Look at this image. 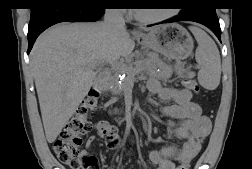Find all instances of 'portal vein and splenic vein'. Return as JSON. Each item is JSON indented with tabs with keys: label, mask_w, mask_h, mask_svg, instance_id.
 Segmentation results:
<instances>
[{
	"label": "portal vein and splenic vein",
	"mask_w": 252,
	"mask_h": 169,
	"mask_svg": "<svg viewBox=\"0 0 252 169\" xmlns=\"http://www.w3.org/2000/svg\"><path fill=\"white\" fill-rule=\"evenodd\" d=\"M113 69L119 71L121 73H131L132 69L128 68L124 63L121 62H113L110 63Z\"/></svg>",
	"instance_id": "1"
}]
</instances>
